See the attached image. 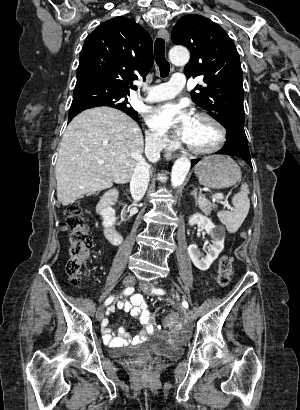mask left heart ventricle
Returning <instances> with one entry per match:
<instances>
[{"label":"left heart ventricle","instance_id":"left-heart-ventricle-1","mask_svg":"<svg viewBox=\"0 0 300 410\" xmlns=\"http://www.w3.org/2000/svg\"><path fill=\"white\" fill-rule=\"evenodd\" d=\"M219 139L220 133L214 124L195 118L187 143L197 148L207 149L214 146Z\"/></svg>","mask_w":300,"mask_h":410}]
</instances>
